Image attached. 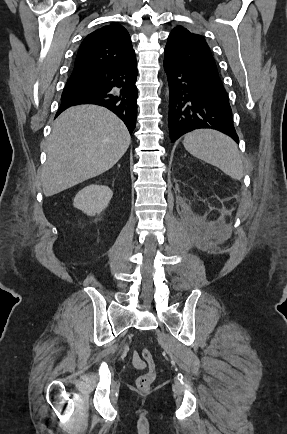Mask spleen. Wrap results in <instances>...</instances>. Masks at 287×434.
<instances>
[{
    "mask_svg": "<svg viewBox=\"0 0 287 434\" xmlns=\"http://www.w3.org/2000/svg\"><path fill=\"white\" fill-rule=\"evenodd\" d=\"M183 145L191 155L218 167L232 179L243 178L238 146L227 135L211 129L195 130L185 136Z\"/></svg>",
    "mask_w": 287,
    "mask_h": 434,
    "instance_id": "1",
    "label": "spleen"
}]
</instances>
